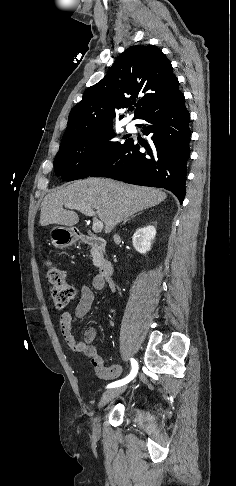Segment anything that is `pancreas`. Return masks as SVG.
<instances>
[{"label": "pancreas", "mask_w": 236, "mask_h": 486, "mask_svg": "<svg viewBox=\"0 0 236 486\" xmlns=\"http://www.w3.org/2000/svg\"><path fill=\"white\" fill-rule=\"evenodd\" d=\"M100 263H101V259L97 255H93V264L99 267Z\"/></svg>", "instance_id": "obj_1"}]
</instances>
